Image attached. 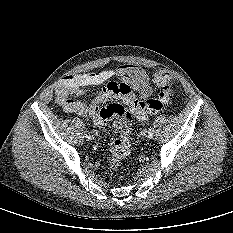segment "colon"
Segmentation results:
<instances>
[{"label":"colon","mask_w":233,"mask_h":233,"mask_svg":"<svg viewBox=\"0 0 233 233\" xmlns=\"http://www.w3.org/2000/svg\"><path fill=\"white\" fill-rule=\"evenodd\" d=\"M153 82L159 89L156 97L146 100L137 99L126 85L120 86L122 100L126 106L113 102L106 107H93L91 116L97 124L106 123L108 119L115 115H123L131 124L134 118L146 119L148 116L162 110L163 106L169 102L174 85L172 74L166 69H158L153 73ZM131 151V129L130 126L122 130L121 135L116 139L111 147V157L109 167L112 171H117L123 159Z\"/></svg>","instance_id":"5ec220e1"}]
</instances>
